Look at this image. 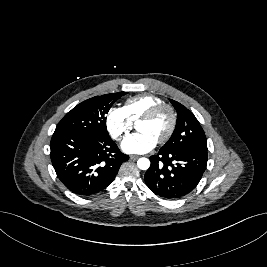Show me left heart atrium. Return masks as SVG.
<instances>
[{"instance_id":"left-heart-atrium-1","label":"left heart atrium","mask_w":267,"mask_h":267,"mask_svg":"<svg viewBox=\"0 0 267 267\" xmlns=\"http://www.w3.org/2000/svg\"><path fill=\"white\" fill-rule=\"evenodd\" d=\"M157 142L158 141L151 135L138 132L127 136L123 140L121 147L126 153L142 154L152 150Z\"/></svg>"}]
</instances>
